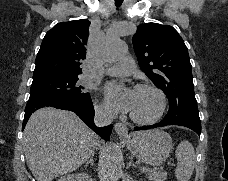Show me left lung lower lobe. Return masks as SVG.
Wrapping results in <instances>:
<instances>
[{"label":"left lung lower lobe","mask_w":228,"mask_h":181,"mask_svg":"<svg viewBox=\"0 0 228 181\" xmlns=\"http://www.w3.org/2000/svg\"><path fill=\"white\" fill-rule=\"evenodd\" d=\"M167 125H173V124H168V123H163L162 121L160 123L154 124V125H150V126H143V127H135L134 130L138 131V130H146V129H151V128H157V127H162V126H167ZM180 126H185L188 127L190 129H192L193 131H195L198 135H200L201 133V126H186V125H180Z\"/></svg>","instance_id":"obj_1"}]
</instances>
